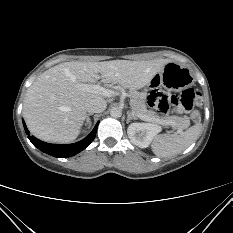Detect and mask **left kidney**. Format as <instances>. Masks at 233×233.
Returning <instances> with one entry per match:
<instances>
[{
  "mask_svg": "<svg viewBox=\"0 0 233 233\" xmlns=\"http://www.w3.org/2000/svg\"><path fill=\"white\" fill-rule=\"evenodd\" d=\"M160 131L161 127L156 124L132 123L127 129V134L133 144L146 148Z\"/></svg>",
  "mask_w": 233,
  "mask_h": 233,
  "instance_id": "1",
  "label": "left kidney"
}]
</instances>
